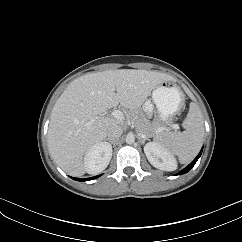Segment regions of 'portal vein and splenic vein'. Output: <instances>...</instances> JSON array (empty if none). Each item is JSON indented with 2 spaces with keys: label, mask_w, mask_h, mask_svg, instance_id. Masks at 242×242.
Returning <instances> with one entry per match:
<instances>
[{
  "label": "portal vein and splenic vein",
  "mask_w": 242,
  "mask_h": 242,
  "mask_svg": "<svg viewBox=\"0 0 242 242\" xmlns=\"http://www.w3.org/2000/svg\"><path fill=\"white\" fill-rule=\"evenodd\" d=\"M111 115L114 117V118H116V119H118V120H120V121H122V120H124V114L120 111V110H114L112 113H111ZM91 123V122H90ZM172 128L173 129H175V130H177V129H179V126L178 125H176V124H174V125H172ZM141 137H143V138H146V135H144V134H142V135H140Z\"/></svg>",
  "instance_id": "1"
}]
</instances>
